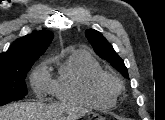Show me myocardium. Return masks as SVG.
Returning <instances> with one entry per match:
<instances>
[{
	"mask_svg": "<svg viewBox=\"0 0 165 120\" xmlns=\"http://www.w3.org/2000/svg\"><path fill=\"white\" fill-rule=\"evenodd\" d=\"M94 85L97 90L115 94L116 96L122 88L120 80L115 75L107 72L99 74L95 79Z\"/></svg>",
	"mask_w": 165,
	"mask_h": 120,
	"instance_id": "1",
	"label": "myocardium"
}]
</instances>
